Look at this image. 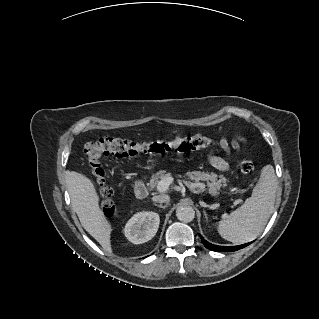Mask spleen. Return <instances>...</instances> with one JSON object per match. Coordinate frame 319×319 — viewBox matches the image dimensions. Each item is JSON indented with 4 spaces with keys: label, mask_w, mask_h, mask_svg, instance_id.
<instances>
[{
    "label": "spleen",
    "mask_w": 319,
    "mask_h": 319,
    "mask_svg": "<svg viewBox=\"0 0 319 319\" xmlns=\"http://www.w3.org/2000/svg\"><path fill=\"white\" fill-rule=\"evenodd\" d=\"M278 181L272 165L262 168L251 197L224 220L218 222V233L233 243L254 240L264 230L274 208Z\"/></svg>",
    "instance_id": "1"
}]
</instances>
